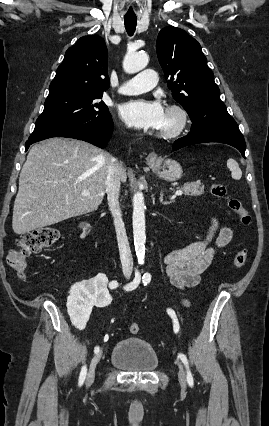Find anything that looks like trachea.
Masks as SVG:
<instances>
[{
	"instance_id": "obj_1",
	"label": "trachea",
	"mask_w": 269,
	"mask_h": 426,
	"mask_svg": "<svg viewBox=\"0 0 269 426\" xmlns=\"http://www.w3.org/2000/svg\"><path fill=\"white\" fill-rule=\"evenodd\" d=\"M125 29L129 36H132L136 30L137 18L125 17L124 18Z\"/></svg>"
}]
</instances>
